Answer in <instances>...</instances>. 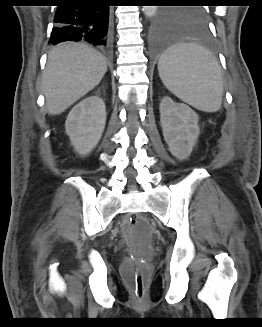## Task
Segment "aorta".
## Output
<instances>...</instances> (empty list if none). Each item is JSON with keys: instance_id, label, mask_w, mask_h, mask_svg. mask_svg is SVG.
Masks as SVG:
<instances>
[{"instance_id": "1", "label": "aorta", "mask_w": 262, "mask_h": 327, "mask_svg": "<svg viewBox=\"0 0 262 327\" xmlns=\"http://www.w3.org/2000/svg\"><path fill=\"white\" fill-rule=\"evenodd\" d=\"M157 11V6H143V12L148 18H153L157 14Z\"/></svg>"}]
</instances>
